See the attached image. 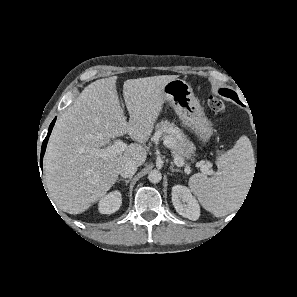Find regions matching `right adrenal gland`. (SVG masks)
I'll use <instances>...</instances> for the list:
<instances>
[{"label": "right adrenal gland", "instance_id": "2a0ac1e0", "mask_svg": "<svg viewBox=\"0 0 297 297\" xmlns=\"http://www.w3.org/2000/svg\"><path fill=\"white\" fill-rule=\"evenodd\" d=\"M131 178L129 179H118L117 182L123 181L126 183V185H128V183L130 182Z\"/></svg>", "mask_w": 297, "mask_h": 297}]
</instances>
